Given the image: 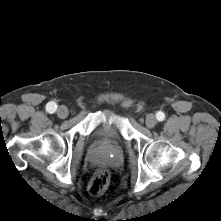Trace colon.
I'll return each instance as SVG.
<instances>
[{"instance_id": "5ec220e1", "label": "colon", "mask_w": 221, "mask_h": 221, "mask_svg": "<svg viewBox=\"0 0 221 221\" xmlns=\"http://www.w3.org/2000/svg\"><path fill=\"white\" fill-rule=\"evenodd\" d=\"M110 183V174L107 170H99L89 184V192L92 195L103 194Z\"/></svg>"}]
</instances>
